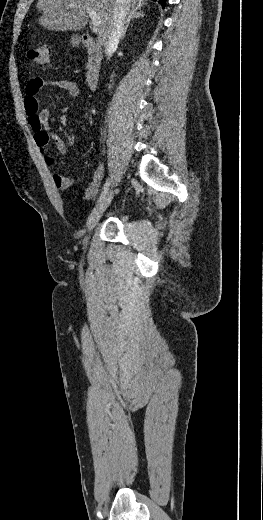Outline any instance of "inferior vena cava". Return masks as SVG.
<instances>
[{
    "mask_svg": "<svg viewBox=\"0 0 263 520\" xmlns=\"http://www.w3.org/2000/svg\"><path fill=\"white\" fill-rule=\"evenodd\" d=\"M129 11V0H115V7L112 15V22L104 42L105 54L110 59V54L114 52L121 39L125 19Z\"/></svg>",
    "mask_w": 263,
    "mask_h": 520,
    "instance_id": "602c4592",
    "label": "inferior vena cava"
}]
</instances>
